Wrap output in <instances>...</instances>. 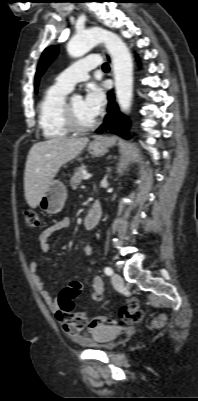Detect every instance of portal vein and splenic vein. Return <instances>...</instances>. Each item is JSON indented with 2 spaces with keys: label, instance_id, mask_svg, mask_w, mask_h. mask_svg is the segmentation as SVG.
Here are the masks:
<instances>
[{
  "label": "portal vein and splenic vein",
  "instance_id": "portal-vein-and-splenic-vein-1",
  "mask_svg": "<svg viewBox=\"0 0 198 401\" xmlns=\"http://www.w3.org/2000/svg\"><path fill=\"white\" fill-rule=\"evenodd\" d=\"M91 177H92L91 174H85L84 177H83V179H84V180H88V179H90Z\"/></svg>",
  "mask_w": 198,
  "mask_h": 401
}]
</instances>
